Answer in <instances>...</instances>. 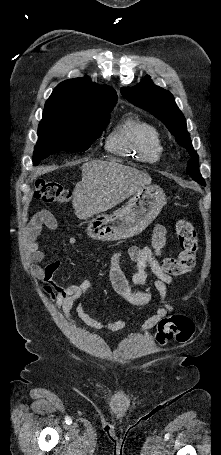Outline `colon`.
<instances>
[{
    "label": "colon",
    "instance_id": "1",
    "mask_svg": "<svg viewBox=\"0 0 221 455\" xmlns=\"http://www.w3.org/2000/svg\"><path fill=\"white\" fill-rule=\"evenodd\" d=\"M71 191L60 183L39 179L35 184V199L47 204H64L70 201ZM176 234L181 251L177 257H167L160 262L161 269L169 276H180L193 269L199 249V239L192 223L181 219L176 224ZM193 321L182 314L161 319L157 324L156 340L159 344L176 340L189 342L194 334Z\"/></svg>",
    "mask_w": 221,
    "mask_h": 455
}]
</instances>
